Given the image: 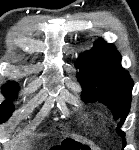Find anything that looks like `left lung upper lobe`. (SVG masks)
<instances>
[{"mask_svg":"<svg viewBox=\"0 0 139 150\" xmlns=\"http://www.w3.org/2000/svg\"><path fill=\"white\" fill-rule=\"evenodd\" d=\"M78 81L83 87L85 102L99 101L107 105L119 127L128 115L131 104L133 80L121 66V56L112 44L98 40L94 47L76 61ZM119 135L125 134L119 128ZM126 146V140H122Z\"/></svg>","mask_w":139,"mask_h":150,"instance_id":"5c2ea615","label":"left lung upper lobe"}]
</instances>
